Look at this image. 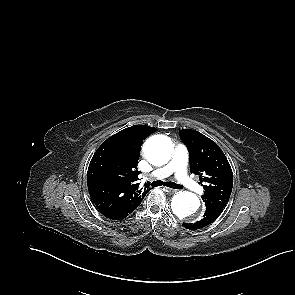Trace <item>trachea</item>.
Returning a JSON list of instances; mask_svg holds the SVG:
<instances>
[{"label": "trachea", "mask_w": 295, "mask_h": 295, "mask_svg": "<svg viewBox=\"0 0 295 295\" xmlns=\"http://www.w3.org/2000/svg\"><path fill=\"white\" fill-rule=\"evenodd\" d=\"M150 185L153 186V187L164 185V186H167V187H170V188H173V189H182L183 188V186L180 185V184H176L174 182H163V181H160V180L154 181Z\"/></svg>", "instance_id": "trachea-1"}]
</instances>
